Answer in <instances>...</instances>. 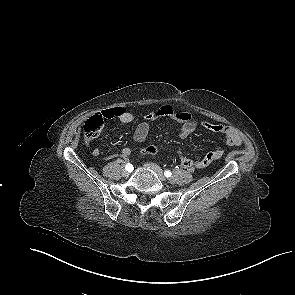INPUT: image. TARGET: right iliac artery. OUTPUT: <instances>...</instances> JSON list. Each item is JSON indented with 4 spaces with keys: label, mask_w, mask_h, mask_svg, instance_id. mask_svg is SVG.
Returning a JSON list of instances; mask_svg holds the SVG:
<instances>
[{
    "label": "right iliac artery",
    "mask_w": 295,
    "mask_h": 295,
    "mask_svg": "<svg viewBox=\"0 0 295 295\" xmlns=\"http://www.w3.org/2000/svg\"><path fill=\"white\" fill-rule=\"evenodd\" d=\"M125 169H126L127 171L131 172V171H133L134 168H133V165H132V164L127 163L126 166H125Z\"/></svg>",
    "instance_id": "82829eb1"
}]
</instances>
